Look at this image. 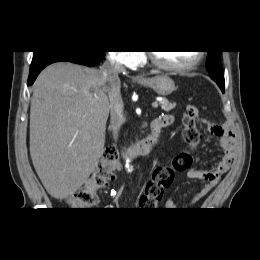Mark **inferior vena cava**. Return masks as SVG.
<instances>
[{"label":"inferior vena cava","mask_w":260,"mask_h":260,"mask_svg":"<svg viewBox=\"0 0 260 260\" xmlns=\"http://www.w3.org/2000/svg\"><path fill=\"white\" fill-rule=\"evenodd\" d=\"M102 79L108 85V101L110 108V128L114 137H118V132L123 124L122 109L123 101L120 93V72L125 71L123 64L116 60L115 55L108 56V59L101 67Z\"/></svg>","instance_id":"obj_1"}]
</instances>
